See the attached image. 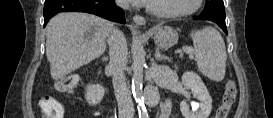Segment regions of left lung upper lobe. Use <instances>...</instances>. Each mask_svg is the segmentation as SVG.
I'll return each instance as SVG.
<instances>
[{"label": "left lung upper lobe", "mask_w": 273, "mask_h": 118, "mask_svg": "<svg viewBox=\"0 0 273 118\" xmlns=\"http://www.w3.org/2000/svg\"><path fill=\"white\" fill-rule=\"evenodd\" d=\"M200 16L225 21V9L223 0H206L204 10Z\"/></svg>", "instance_id": "5c2ea615"}]
</instances>
